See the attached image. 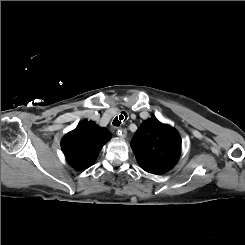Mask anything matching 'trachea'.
I'll return each mask as SVG.
<instances>
[{
    "label": "trachea",
    "mask_w": 245,
    "mask_h": 245,
    "mask_svg": "<svg viewBox=\"0 0 245 245\" xmlns=\"http://www.w3.org/2000/svg\"><path fill=\"white\" fill-rule=\"evenodd\" d=\"M127 117L128 115L126 112H121L120 115L113 120V125L120 126L125 120H127Z\"/></svg>",
    "instance_id": "obj_1"
}]
</instances>
